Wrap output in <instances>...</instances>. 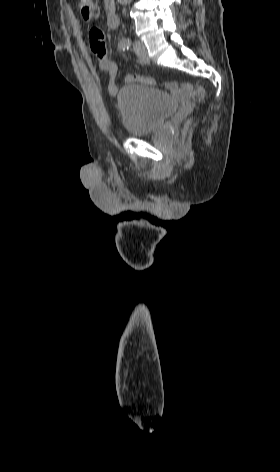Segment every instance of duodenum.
Listing matches in <instances>:
<instances>
[{
	"mask_svg": "<svg viewBox=\"0 0 280 472\" xmlns=\"http://www.w3.org/2000/svg\"><path fill=\"white\" fill-rule=\"evenodd\" d=\"M119 16L117 15V13L113 10V9H110L108 11V14H107V25L109 28L111 29H115L118 27L119 25Z\"/></svg>",
	"mask_w": 280,
	"mask_h": 472,
	"instance_id": "410a0bca",
	"label": "duodenum"
}]
</instances>
